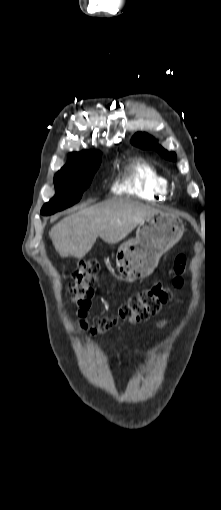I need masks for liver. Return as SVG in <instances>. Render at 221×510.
<instances>
[{
	"mask_svg": "<svg viewBox=\"0 0 221 510\" xmlns=\"http://www.w3.org/2000/svg\"><path fill=\"white\" fill-rule=\"evenodd\" d=\"M160 210L129 199L114 198L63 218L49 231L59 255L82 259L97 237L109 244L125 239L146 218Z\"/></svg>",
	"mask_w": 221,
	"mask_h": 510,
	"instance_id": "liver-1",
	"label": "liver"
}]
</instances>
